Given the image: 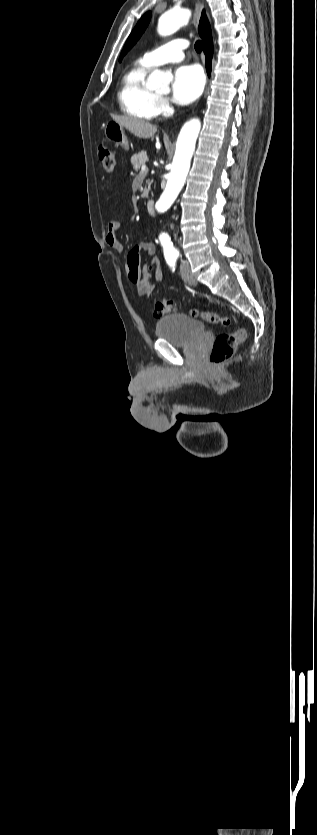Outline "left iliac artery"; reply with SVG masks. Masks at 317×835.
I'll use <instances>...</instances> for the list:
<instances>
[{"mask_svg":"<svg viewBox=\"0 0 317 835\" xmlns=\"http://www.w3.org/2000/svg\"><path fill=\"white\" fill-rule=\"evenodd\" d=\"M178 255H179V253H177V254H176V257H177Z\"/></svg>","mask_w":317,"mask_h":835,"instance_id":"obj_1","label":"left iliac artery"}]
</instances>
